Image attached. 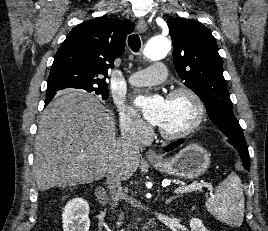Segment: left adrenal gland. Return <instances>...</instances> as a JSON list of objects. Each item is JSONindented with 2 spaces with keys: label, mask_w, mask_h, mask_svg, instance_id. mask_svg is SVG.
<instances>
[{
  "label": "left adrenal gland",
  "mask_w": 268,
  "mask_h": 231,
  "mask_svg": "<svg viewBox=\"0 0 268 231\" xmlns=\"http://www.w3.org/2000/svg\"><path fill=\"white\" fill-rule=\"evenodd\" d=\"M177 196L170 197L168 200H166V204H170L174 199H176Z\"/></svg>",
  "instance_id": "1"
}]
</instances>
